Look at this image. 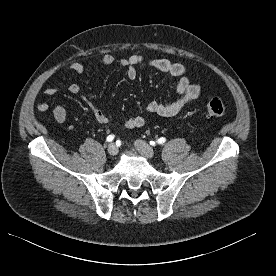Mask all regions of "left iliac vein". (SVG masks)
<instances>
[{
	"instance_id": "4c4485c4",
	"label": "left iliac vein",
	"mask_w": 276,
	"mask_h": 276,
	"mask_svg": "<svg viewBox=\"0 0 276 276\" xmlns=\"http://www.w3.org/2000/svg\"><path fill=\"white\" fill-rule=\"evenodd\" d=\"M134 146L136 148V150L145 158L147 159H151L154 157V150L153 148L147 144L145 141L142 140H136L134 142Z\"/></svg>"
}]
</instances>
